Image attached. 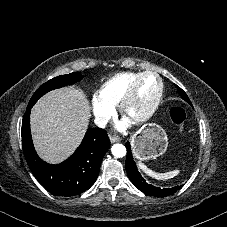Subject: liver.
I'll use <instances>...</instances> for the list:
<instances>
[{"mask_svg":"<svg viewBox=\"0 0 227 227\" xmlns=\"http://www.w3.org/2000/svg\"><path fill=\"white\" fill-rule=\"evenodd\" d=\"M90 116L89 101L78 88H61L44 95L31 113V131L39 156L51 164L69 157L79 146Z\"/></svg>","mask_w":227,"mask_h":227,"instance_id":"liver-1","label":"liver"}]
</instances>
